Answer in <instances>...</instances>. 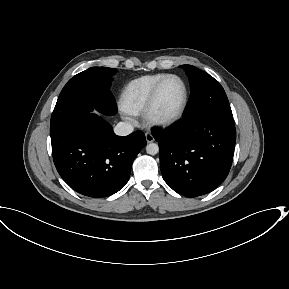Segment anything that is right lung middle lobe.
I'll return each instance as SVG.
<instances>
[{
  "mask_svg": "<svg viewBox=\"0 0 289 289\" xmlns=\"http://www.w3.org/2000/svg\"><path fill=\"white\" fill-rule=\"evenodd\" d=\"M115 72L114 68L92 67L71 78L62 89L52 113L50 135L93 108L105 115L116 114V106L109 92Z\"/></svg>",
  "mask_w": 289,
  "mask_h": 289,
  "instance_id": "obj_1",
  "label": "right lung middle lobe"
}]
</instances>
